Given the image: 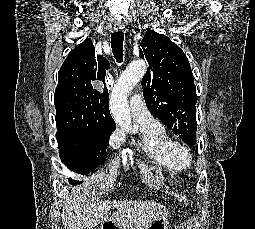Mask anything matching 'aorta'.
<instances>
[{
	"label": "aorta",
	"mask_w": 255,
	"mask_h": 229,
	"mask_svg": "<svg viewBox=\"0 0 255 229\" xmlns=\"http://www.w3.org/2000/svg\"><path fill=\"white\" fill-rule=\"evenodd\" d=\"M145 72L146 64L143 60L131 62L114 85L110 97V110L114 120L130 133H135L136 129L132 127L127 97Z\"/></svg>",
	"instance_id": "obj_1"
}]
</instances>
